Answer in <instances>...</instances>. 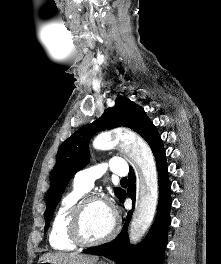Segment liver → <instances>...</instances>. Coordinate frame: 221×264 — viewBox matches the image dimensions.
<instances>
[{
    "mask_svg": "<svg viewBox=\"0 0 221 264\" xmlns=\"http://www.w3.org/2000/svg\"><path fill=\"white\" fill-rule=\"evenodd\" d=\"M39 261H47L53 264H96L97 256H89L78 253H45Z\"/></svg>",
    "mask_w": 221,
    "mask_h": 264,
    "instance_id": "1",
    "label": "liver"
}]
</instances>
